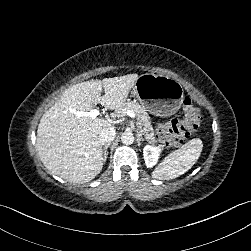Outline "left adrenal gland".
Masks as SVG:
<instances>
[{
  "mask_svg": "<svg viewBox=\"0 0 251 251\" xmlns=\"http://www.w3.org/2000/svg\"><path fill=\"white\" fill-rule=\"evenodd\" d=\"M136 137H137V144L138 146H140L141 141H144V138L142 137V134L140 132H137Z\"/></svg>",
  "mask_w": 251,
  "mask_h": 251,
  "instance_id": "obj_1",
  "label": "left adrenal gland"
}]
</instances>
